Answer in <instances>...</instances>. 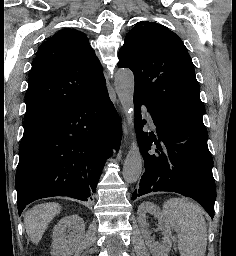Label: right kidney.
<instances>
[{
    "instance_id": "right-kidney-1",
    "label": "right kidney",
    "mask_w": 236,
    "mask_h": 256,
    "mask_svg": "<svg viewBox=\"0 0 236 256\" xmlns=\"http://www.w3.org/2000/svg\"><path fill=\"white\" fill-rule=\"evenodd\" d=\"M52 256H76L85 242V224L77 214L65 216L53 230Z\"/></svg>"
}]
</instances>
